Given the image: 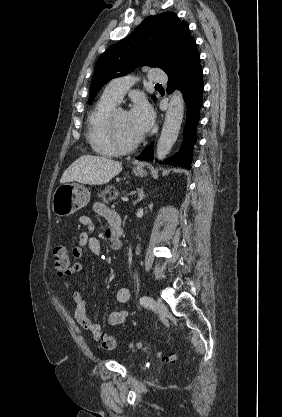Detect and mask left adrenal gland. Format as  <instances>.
<instances>
[{"label": "left adrenal gland", "mask_w": 282, "mask_h": 417, "mask_svg": "<svg viewBox=\"0 0 282 417\" xmlns=\"http://www.w3.org/2000/svg\"><path fill=\"white\" fill-rule=\"evenodd\" d=\"M146 194H144L143 192V186L142 188H138V198L137 200H134V204H136V202H139V200H143V198H145Z\"/></svg>", "instance_id": "obj_1"}]
</instances>
